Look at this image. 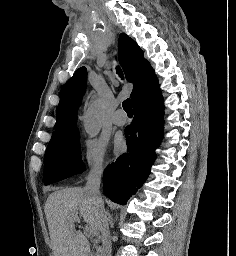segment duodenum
Masks as SVG:
<instances>
[{"mask_svg": "<svg viewBox=\"0 0 236 256\" xmlns=\"http://www.w3.org/2000/svg\"><path fill=\"white\" fill-rule=\"evenodd\" d=\"M86 256H93L91 250L88 251V254H86Z\"/></svg>", "mask_w": 236, "mask_h": 256, "instance_id": "duodenum-1", "label": "duodenum"}]
</instances>
